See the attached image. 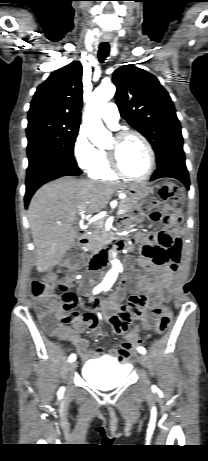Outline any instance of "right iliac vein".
Here are the masks:
<instances>
[{"label":"right iliac vein","instance_id":"right-iliac-vein-1","mask_svg":"<svg viewBox=\"0 0 208 461\" xmlns=\"http://www.w3.org/2000/svg\"><path fill=\"white\" fill-rule=\"evenodd\" d=\"M77 368V362L73 361L69 365V371L72 373Z\"/></svg>","mask_w":208,"mask_h":461}]
</instances>
